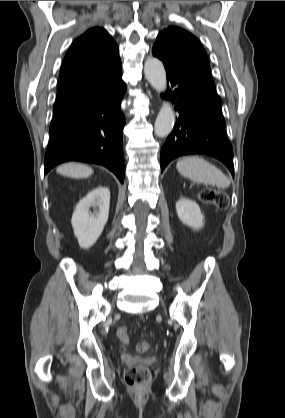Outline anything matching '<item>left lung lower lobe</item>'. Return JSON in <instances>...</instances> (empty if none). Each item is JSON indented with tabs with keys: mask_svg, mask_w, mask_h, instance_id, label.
Returning a JSON list of instances; mask_svg holds the SVG:
<instances>
[{
	"mask_svg": "<svg viewBox=\"0 0 285 418\" xmlns=\"http://www.w3.org/2000/svg\"><path fill=\"white\" fill-rule=\"evenodd\" d=\"M152 52L165 66L168 93L179 113L161 150V170L179 156L206 154L222 161L234 176L233 150L213 80L160 41H156Z\"/></svg>",
	"mask_w": 285,
	"mask_h": 418,
	"instance_id": "left-lung-lower-lobe-1",
	"label": "left lung lower lobe"
}]
</instances>
